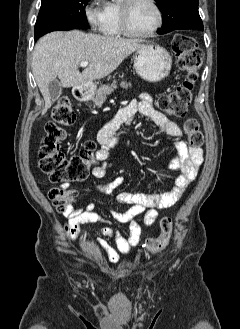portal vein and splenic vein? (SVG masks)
<instances>
[{
  "label": "portal vein and splenic vein",
  "instance_id": "portal-vein-and-splenic-vein-1",
  "mask_svg": "<svg viewBox=\"0 0 240 329\" xmlns=\"http://www.w3.org/2000/svg\"><path fill=\"white\" fill-rule=\"evenodd\" d=\"M89 64H90L89 62L83 61V62L80 63V66L81 67H87Z\"/></svg>",
  "mask_w": 240,
  "mask_h": 329
}]
</instances>
